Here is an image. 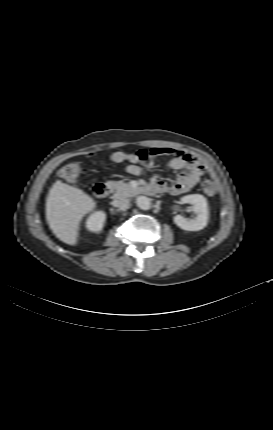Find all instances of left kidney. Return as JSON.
Returning a JSON list of instances; mask_svg holds the SVG:
<instances>
[{
	"mask_svg": "<svg viewBox=\"0 0 273 430\" xmlns=\"http://www.w3.org/2000/svg\"><path fill=\"white\" fill-rule=\"evenodd\" d=\"M182 203L192 205L194 218H184L181 215L174 216V223L186 231H199L203 229L209 219V209L207 199L200 194L186 195L181 198Z\"/></svg>",
	"mask_w": 273,
	"mask_h": 430,
	"instance_id": "obj_1",
	"label": "left kidney"
}]
</instances>
